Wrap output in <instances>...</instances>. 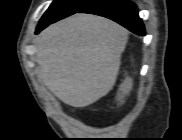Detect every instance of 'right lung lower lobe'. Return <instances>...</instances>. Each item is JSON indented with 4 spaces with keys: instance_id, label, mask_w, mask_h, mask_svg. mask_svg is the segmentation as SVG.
<instances>
[{
    "instance_id": "obj_1",
    "label": "right lung lower lobe",
    "mask_w": 182,
    "mask_h": 140,
    "mask_svg": "<svg viewBox=\"0 0 182 140\" xmlns=\"http://www.w3.org/2000/svg\"><path fill=\"white\" fill-rule=\"evenodd\" d=\"M76 13L100 15L116 21L138 35L143 36L145 34L144 25L138 15L137 7L129 0H93ZM44 28L37 29L36 33H39Z\"/></svg>"
}]
</instances>
